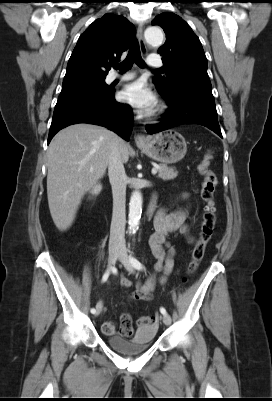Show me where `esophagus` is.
Returning a JSON list of instances; mask_svg holds the SVG:
<instances>
[{"label": "esophagus", "instance_id": "esophagus-1", "mask_svg": "<svg viewBox=\"0 0 272 401\" xmlns=\"http://www.w3.org/2000/svg\"><path fill=\"white\" fill-rule=\"evenodd\" d=\"M136 35H137V39H138V42H139V46H140L141 52L143 54H146L147 48H146V43H145V40H144V37H143V26L142 25L138 26ZM146 142H147V139L143 134H138V135L135 136V143L137 145H143Z\"/></svg>", "mask_w": 272, "mask_h": 401}]
</instances>
